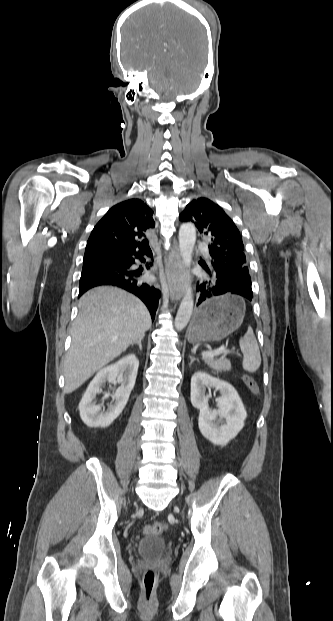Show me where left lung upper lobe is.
<instances>
[{
  "label": "left lung upper lobe",
  "mask_w": 333,
  "mask_h": 621,
  "mask_svg": "<svg viewBox=\"0 0 333 621\" xmlns=\"http://www.w3.org/2000/svg\"><path fill=\"white\" fill-rule=\"evenodd\" d=\"M191 221L199 232L210 238L211 259L222 261L236 270L248 271L241 234L224 210L207 198L193 199L179 216Z\"/></svg>",
  "instance_id": "obj_1"
}]
</instances>
